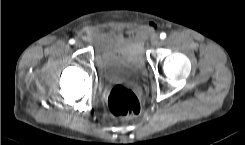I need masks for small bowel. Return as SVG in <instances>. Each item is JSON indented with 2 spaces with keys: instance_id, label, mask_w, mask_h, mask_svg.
Here are the masks:
<instances>
[{
  "instance_id": "small-bowel-1",
  "label": "small bowel",
  "mask_w": 245,
  "mask_h": 145,
  "mask_svg": "<svg viewBox=\"0 0 245 145\" xmlns=\"http://www.w3.org/2000/svg\"><path fill=\"white\" fill-rule=\"evenodd\" d=\"M154 26H151V30L154 29ZM94 40L97 42L100 39V34L99 33H94L93 35Z\"/></svg>"
}]
</instances>
